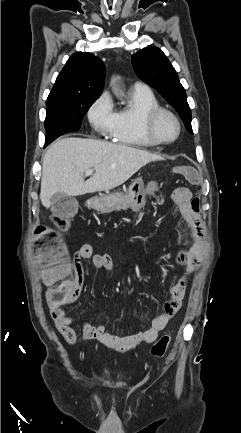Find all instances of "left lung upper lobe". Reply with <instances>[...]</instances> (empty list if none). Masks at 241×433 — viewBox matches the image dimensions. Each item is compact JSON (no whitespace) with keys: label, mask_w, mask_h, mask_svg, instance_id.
I'll return each mask as SVG.
<instances>
[{"label":"left lung upper lobe","mask_w":241,"mask_h":433,"mask_svg":"<svg viewBox=\"0 0 241 433\" xmlns=\"http://www.w3.org/2000/svg\"><path fill=\"white\" fill-rule=\"evenodd\" d=\"M132 65L139 78L154 87L179 113L188 132H192L191 111L186 93L168 58L157 47L135 53Z\"/></svg>","instance_id":"1"}]
</instances>
